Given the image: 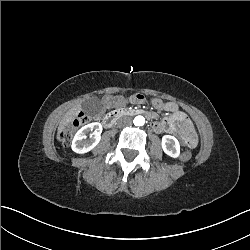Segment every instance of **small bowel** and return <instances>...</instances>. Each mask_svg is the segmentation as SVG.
<instances>
[{
	"label": "small bowel",
	"mask_w": 250,
	"mask_h": 250,
	"mask_svg": "<svg viewBox=\"0 0 250 250\" xmlns=\"http://www.w3.org/2000/svg\"><path fill=\"white\" fill-rule=\"evenodd\" d=\"M134 96V95H133ZM133 96L125 97V96H116L113 97L111 95H106L102 98V107L103 109H113L116 106H125L130 102H135L133 100ZM137 103V102H136ZM153 104L160 109L169 111L173 114L174 118L177 120L178 125L175 124L173 129L176 131L178 135H181L185 141L188 140L192 135H194V129L190 124V121L185 116L184 113L178 110V107L173 102H163L159 99H154ZM152 128L154 131L160 133L165 129V125L160 123L159 121H155L152 124ZM195 137V136H194ZM196 139V138H195Z\"/></svg>",
	"instance_id": "small-bowel-1"
}]
</instances>
